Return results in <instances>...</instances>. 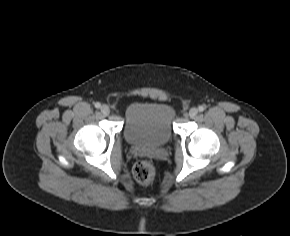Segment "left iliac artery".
<instances>
[{"label":"left iliac artery","instance_id":"44dca946","mask_svg":"<svg viewBox=\"0 0 290 236\" xmlns=\"http://www.w3.org/2000/svg\"><path fill=\"white\" fill-rule=\"evenodd\" d=\"M198 109L200 112H203L206 109V107L204 105H201L198 107Z\"/></svg>","mask_w":290,"mask_h":236}]
</instances>
